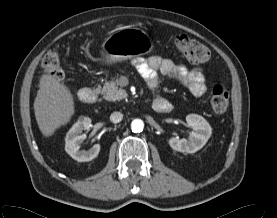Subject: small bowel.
Segmentation results:
<instances>
[{
    "label": "small bowel",
    "instance_id": "small-bowel-1",
    "mask_svg": "<svg viewBox=\"0 0 277 218\" xmlns=\"http://www.w3.org/2000/svg\"><path fill=\"white\" fill-rule=\"evenodd\" d=\"M133 65L144 78L148 88L152 91L157 89L159 75L161 74L183 84L190 93L196 97H201L206 92L205 76L199 68L188 69L183 64H176L171 59L161 56H152L148 59H135L133 60ZM163 99L165 98L155 96L153 101V108L155 111L165 113L158 109Z\"/></svg>",
    "mask_w": 277,
    "mask_h": 218
}]
</instances>
